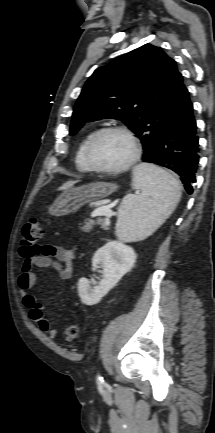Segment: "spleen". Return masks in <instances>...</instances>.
Instances as JSON below:
<instances>
[{
  "label": "spleen",
  "instance_id": "3e777b00",
  "mask_svg": "<svg viewBox=\"0 0 215 433\" xmlns=\"http://www.w3.org/2000/svg\"><path fill=\"white\" fill-rule=\"evenodd\" d=\"M131 185L142 193L126 195L119 206L116 236L123 241L150 236L172 214L181 197L179 182L153 164L137 165Z\"/></svg>",
  "mask_w": 215,
  "mask_h": 433
}]
</instances>
